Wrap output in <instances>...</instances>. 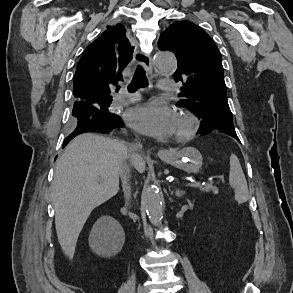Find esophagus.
I'll use <instances>...</instances> for the list:
<instances>
[{
	"label": "esophagus",
	"instance_id": "1",
	"mask_svg": "<svg viewBox=\"0 0 293 293\" xmlns=\"http://www.w3.org/2000/svg\"><path fill=\"white\" fill-rule=\"evenodd\" d=\"M134 60L136 61V63L145 67V69L149 73H152L153 67L151 62V56L149 54L141 52V51H136L134 54ZM158 155L160 157L168 156L170 155V151L167 149H161L158 151Z\"/></svg>",
	"mask_w": 293,
	"mask_h": 293
}]
</instances>
